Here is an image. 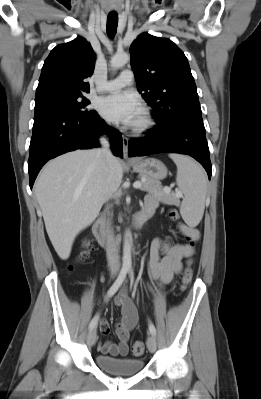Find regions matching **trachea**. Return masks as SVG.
<instances>
[{
    "instance_id": "trachea-1",
    "label": "trachea",
    "mask_w": 261,
    "mask_h": 399,
    "mask_svg": "<svg viewBox=\"0 0 261 399\" xmlns=\"http://www.w3.org/2000/svg\"><path fill=\"white\" fill-rule=\"evenodd\" d=\"M118 25V16L117 14H109L107 17V33L110 37H114L116 34Z\"/></svg>"
}]
</instances>
